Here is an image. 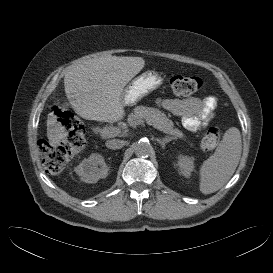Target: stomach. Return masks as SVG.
<instances>
[{"label":"stomach","instance_id":"stomach-1","mask_svg":"<svg viewBox=\"0 0 273 273\" xmlns=\"http://www.w3.org/2000/svg\"><path fill=\"white\" fill-rule=\"evenodd\" d=\"M163 78L155 70H148L134 78L123 91V104L135 105L143 97L161 86Z\"/></svg>","mask_w":273,"mask_h":273}]
</instances>
